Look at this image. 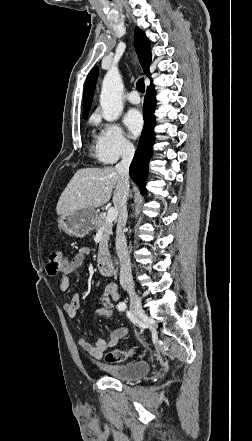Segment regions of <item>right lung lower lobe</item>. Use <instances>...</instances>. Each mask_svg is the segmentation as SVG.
<instances>
[{
	"mask_svg": "<svg viewBox=\"0 0 252 441\" xmlns=\"http://www.w3.org/2000/svg\"><path fill=\"white\" fill-rule=\"evenodd\" d=\"M155 90L153 84L147 88L143 105L144 129L138 148L130 165V177L139 185L142 194L146 192L145 182L148 174V161L152 155L155 126Z\"/></svg>",
	"mask_w": 252,
	"mask_h": 441,
	"instance_id": "98d812e1",
	"label": "right lung lower lobe"
}]
</instances>
